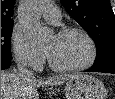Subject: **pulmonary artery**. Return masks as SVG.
<instances>
[{
	"label": "pulmonary artery",
	"instance_id": "e3ab8cb5",
	"mask_svg": "<svg viewBox=\"0 0 115 99\" xmlns=\"http://www.w3.org/2000/svg\"><path fill=\"white\" fill-rule=\"evenodd\" d=\"M43 17L50 23H58L60 21V11L55 4L47 3L42 9Z\"/></svg>",
	"mask_w": 115,
	"mask_h": 99
}]
</instances>
